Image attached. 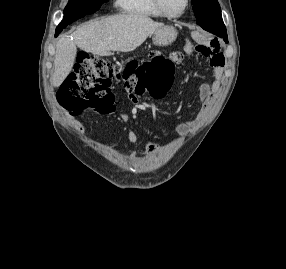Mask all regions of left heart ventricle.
I'll return each instance as SVG.
<instances>
[{
    "label": "left heart ventricle",
    "instance_id": "left-heart-ventricle-1",
    "mask_svg": "<svg viewBox=\"0 0 286 269\" xmlns=\"http://www.w3.org/2000/svg\"><path fill=\"white\" fill-rule=\"evenodd\" d=\"M185 0H163V4L167 11L173 14L181 12L184 7Z\"/></svg>",
    "mask_w": 286,
    "mask_h": 269
}]
</instances>
